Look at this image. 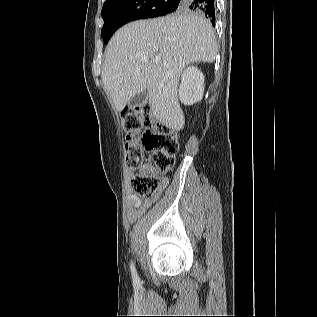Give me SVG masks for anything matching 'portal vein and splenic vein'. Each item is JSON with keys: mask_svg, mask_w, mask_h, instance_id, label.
<instances>
[{"mask_svg": "<svg viewBox=\"0 0 317 317\" xmlns=\"http://www.w3.org/2000/svg\"><path fill=\"white\" fill-rule=\"evenodd\" d=\"M153 62L157 64L159 62V59L156 58V59L153 60Z\"/></svg>", "mask_w": 317, "mask_h": 317, "instance_id": "1", "label": "portal vein and splenic vein"}]
</instances>
